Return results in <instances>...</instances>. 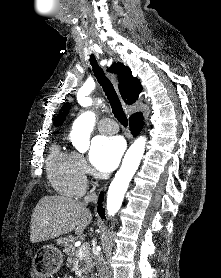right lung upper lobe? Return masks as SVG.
Here are the masks:
<instances>
[{
    "instance_id": "obj_1",
    "label": "right lung upper lobe",
    "mask_w": 221,
    "mask_h": 278,
    "mask_svg": "<svg viewBox=\"0 0 221 278\" xmlns=\"http://www.w3.org/2000/svg\"><path fill=\"white\" fill-rule=\"evenodd\" d=\"M118 80H119V91L125 103L133 104L139 94L142 91V85L140 81L132 76L131 70L124 66L122 63L118 62ZM70 104L65 103L61 108L59 115L56 117L55 126H59L62 124L65 116L69 113ZM135 115H142L140 112Z\"/></svg>"
}]
</instances>
